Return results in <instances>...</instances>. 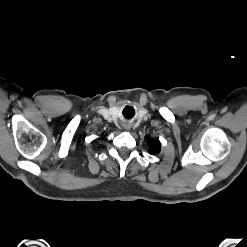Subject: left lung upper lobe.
I'll return each instance as SVG.
<instances>
[{"instance_id": "obj_1", "label": "left lung upper lobe", "mask_w": 247, "mask_h": 247, "mask_svg": "<svg viewBox=\"0 0 247 247\" xmlns=\"http://www.w3.org/2000/svg\"><path fill=\"white\" fill-rule=\"evenodd\" d=\"M149 145H150V150H149L150 154L155 155L160 152L161 146H160V142L158 139L150 141Z\"/></svg>"}]
</instances>
